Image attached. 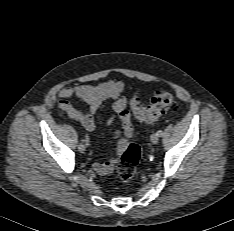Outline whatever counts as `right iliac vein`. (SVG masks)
Returning <instances> with one entry per match:
<instances>
[{"label":"right iliac vein","instance_id":"obj_1","mask_svg":"<svg viewBox=\"0 0 234 231\" xmlns=\"http://www.w3.org/2000/svg\"><path fill=\"white\" fill-rule=\"evenodd\" d=\"M78 150H79L81 153H83V152L85 151V145L82 144V143H80V144L78 145Z\"/></svg>","mask_w":234,"mask_h":231}]
</instances>
